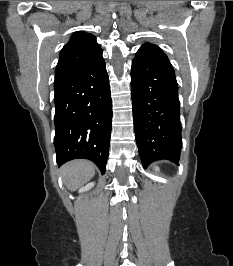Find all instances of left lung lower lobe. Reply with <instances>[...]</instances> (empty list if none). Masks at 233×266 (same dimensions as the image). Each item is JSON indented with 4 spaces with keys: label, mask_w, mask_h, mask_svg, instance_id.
<instances>
[{
    "label": "left lung lower lobe",
    "mask_w": 233,
    "mask_h": 266,
    "mask_svg": "<svg viewBox=\"0 0 233 266\" xmlns=\"http://www.w3.org/2000/svg\"><path fill=\"white\" fill-rule=\"evenodd\" d=\"M134 129L144 168L168 159L178 162L181 122L178 84L166 54L145 44L136 53L131 68Z\"/></svg>",
    "instance_id": "1"
}]
</instances>
